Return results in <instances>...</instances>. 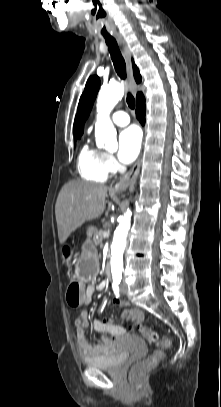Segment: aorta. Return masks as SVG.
Instances as JSON below:
<instances>
[{
  "label": "aorta",
  "mask_w": 221,
  "mask_h": 407,
  "mask_svg": "<svg viewBox=\"0 0 221 407\" xmlns=\"http://www.w3.org/2000/svg\"><path fill=\"white\" fill-rule=\"evenodd\" d=\"M124 95L123 84L114 83L103 87L97 98V120L95 137L97 146L110 149L116 145V130L110 120V113ZM131 211L128 209L121 216L119 225L114 232L111 245V273L114 281H120L123 271V252L126 247V237L131 225Z\"/></svg>",
  "instance_id": "aorta-1"
}]
</instances>
